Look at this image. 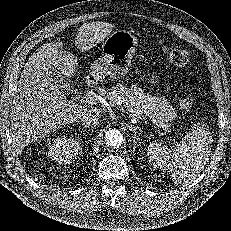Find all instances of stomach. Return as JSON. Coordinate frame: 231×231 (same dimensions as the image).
Wrapping results in <instances>:
<instances>
[{"label":"stomach","mask_w":231,"mask_h":231,"mask_svg":"<svg viewBox=\"0 0 231 231\" xmlns=\"http://www.w3.org/2000/svg\"><path fill=\"white\" fill-rule=\"evenodd\" d=\"M137 44V38L131 32L114 31L103 42V57L92 64L89 77L94 80H100L104 76L113 79L123 78L131 66Z\"/></svg>","instance_id":"1"}]
</instances>
